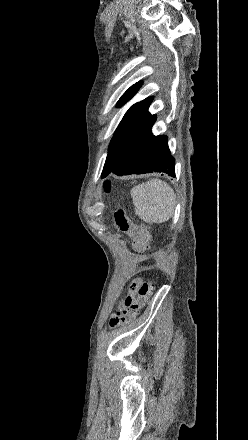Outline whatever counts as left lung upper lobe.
I'll return each mask as SVG.
<instances>
[{
    "label": "left lung upper lobe",
    "mask_w": 248,
    "mask_h": 440,
    "mask_svg": "<svg viewBox=\"0 0 248 440\" xmlns=\"http://www.w3.org/2000/svg\"><path fill=\"white\" fill-rule=\"evenodd\" d=\"M141 84L138 82L132 85L121 96L117 105L121 106L131 99ZM152 100L149 97L134 104L124 115L111 140L102 178L113 171L130 149L152 135L151 128L156 121V116L148 112Z\"/></svg>",
    "instance_id": "1"
}]
</instances>
